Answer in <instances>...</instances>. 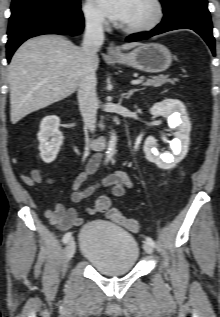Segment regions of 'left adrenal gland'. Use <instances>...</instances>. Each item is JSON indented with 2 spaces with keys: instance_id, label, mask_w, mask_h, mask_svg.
I'll return each instance as SVG.
<instances>
[{
  "instance_id": "1",
  "label": "left adrenal gland",
  "mask_w": 220,
  "mask_h": 317,
  "mask_svg": "<svg viewBox=\"0 0 220 317\" xmlns=\"http://www.w3.org/2000/svg\"><path fill=\"white\" fill-rule=\"evenodd\" d=\"M139 91V89H132L130 91H128V93H124L123 97L126 99H130V97L133 95L134 92Z\"/></svg>"
}]
</instances>
